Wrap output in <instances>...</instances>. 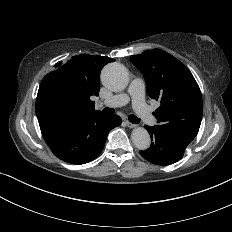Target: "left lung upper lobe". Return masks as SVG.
<instances>
[{
    "instance_id": "1",
    "label": "left lung upper lobe",
    "mask_w": 232,
    "mask_h": 232,
    "mask_svg": "<svg viewBox=\"0 0 232 232\" xmlns=\"http://www.w3.org/2000/svg\"><path fill=\"white\" fill-rule=\"evenodd\" d=\"M129 60L143 73L150 98L159 100L154 127L189 144L201 124L203 103L199 86L189 69L160 49L133 55Z\"/></svg>"
}]
</instances>
